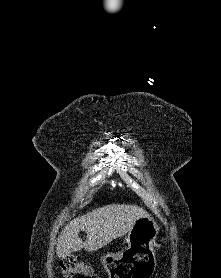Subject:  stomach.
<instances>
[{"mask_svg":"<svg viewBox=\"0 0 221 278\" xmlns=\"http://www.w3.org/2000/svg\"><path fill=\"white\" fill-rule=\"evenodd\" d=\"M158 230L157 223L149 215L137 219L126 239L128 251L101 258L110 278H150L154 275L156 259L153 245Z\"/></svg>","mask_w":221,"mask_h":278,"instance_id":"0dacf381","label":"stomach"}]
</instances>
